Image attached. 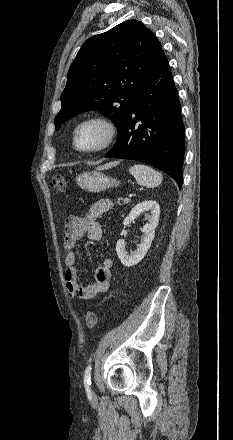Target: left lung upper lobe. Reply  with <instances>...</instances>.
<instances>
[{
  "instance_id": "left-lung-upper-lobe-1",
  "label": "left lung upper lobe",
  "mask_w": 233,
  "mask_h": 440,
  "mask_svg": "<svg viewBox=\"0 0 233 440\" xmlns=\"http://www.w3.org/2000/svg\"><path fill=\"white\" fill-rule=\"evenodd\" d=\"M163 53L156 36L137 20L89 38L71 64L54 124L98 110L122 129L139 87Z\"/></svg>"
}]
</instances>
